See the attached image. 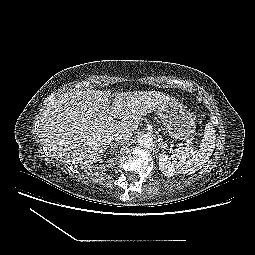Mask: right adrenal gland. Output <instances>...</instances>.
Masks as SVG:
<instances>
[{
  "instance_id": "1",
  "label": "right adrenal gland",
  "mask_w": 255,
  "mask_h": 255,
  "mask_svg": "<svg viewBox=\"0 0 255 255\" xmlns=\"http://www.w3.org/2000/svg\"><path fill=\"white\" fill-rule=\"evenodd\" d=\"M122 145V143H117V142H115V143H112L111 144V149H115V148H117V150L119 149V147Z\"/></svg>"
}]
</instances>
